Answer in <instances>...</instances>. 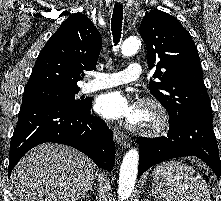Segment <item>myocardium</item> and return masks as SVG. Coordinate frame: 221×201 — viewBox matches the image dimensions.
<instances>
[{
  "instance_id": "1",
  "label": "myocardium",
  "mask_w": 221,
  "mask_h": 201,
  "mask_svg": "<svg viewBox=\"0 0 221 201\" xmlns=\"http://www.w3.org/2000/svg\"><path fill=\"white\" fill-rule=\"evenodd\" d=\"M138 107L140 111L149 116L150 121L143 125L130 122L128 128L131 131L145 135H156L168 128L170 121L169 113L159 100L152 97H145L139 101Z\"/></svg>"
}]
</instances>
